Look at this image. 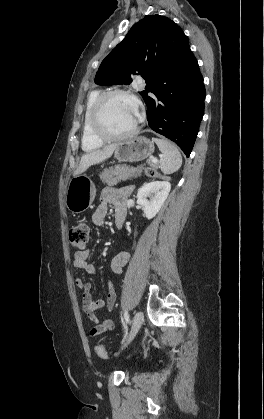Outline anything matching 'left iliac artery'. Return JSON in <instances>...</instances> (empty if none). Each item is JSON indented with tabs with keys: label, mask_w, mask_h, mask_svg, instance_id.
I'll return each instance as SVG.
<instances>
[{
	"label": "left iliac artery",
	"mask_w": 264,
	"mask_h": 419,
	"mask_svg": "<svg viewBox=\"0 0 264 419\" xmlns=\"http://www.w3.org/2000/svg\"><path fill=\"white\" fill-rule=\"evenodd\" d=\"M124 319H125L126 323L129 322V314H128L127 311L124 312Z\"/></svg>",
	"instance_id": "left-iliac-artery-1"
}]
</instances>
